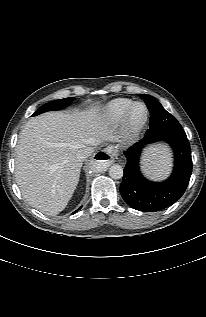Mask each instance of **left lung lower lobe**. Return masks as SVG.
<instances>
[{
  "label": "left lung lower lobe",
  "instance_id": "0a47b994",
  "mask_svg": "<svg viewBox=\"0 0 206 317\" xmlns=\"http://www.w3.org/2000/svg\"><path fill=\"white\" fill-rule=\"evenodd\" d=\"M157 141L169 144L175 155L172 175L160 183L148 181L139 170V157L143 147ZM124 155L127 164L120 193L130 207L139 211L156 212L175 203L185 192L192 172L190 144L185 133L145 135L144 139L130 147Z\"/></svg>",
  "mask_w": 206,
  "mask_h": 317
}]
</instances>
